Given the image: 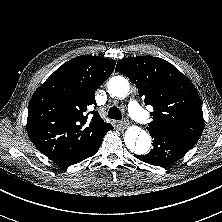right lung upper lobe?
<instances>
[{"label": "right lung upper lobe", "instance_id": "obj_1", "mask_svg": "<svg viewBox=\"0 0 222 222\" xmlns=\"http://www.w3.org/2000/svg\"><path fill=\"white\" fill-rule=\"evenodd\" d=\"M116 61L99 56H78L60 66L33 94L27 132L33 144L56 163L75 159L112 129L87 106L95 91L111 75Z\"/></svg>", "mask_w": 222, "mask_h": 222}]
</instances>
